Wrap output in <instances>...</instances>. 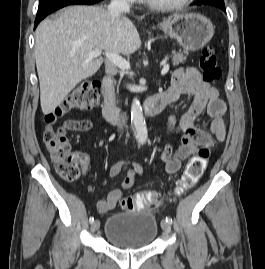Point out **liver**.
<instances>
[{"label":"liver","instance_id":"liver-1","mask_svg":"<svg viewBox=\"0 0 265 269\" xmlns=\"http://www.w3.org/2000/svg\"><path fill=\"white\" fill-rule=\"evenodd\" d=\"M140 46L130 19L111 21L108 11L98 6H70L42 21L35 32L42 112L52 113L77 84L99 70L103 59L90 58V51L130 55Z\"/></svg>","mask_w":265,"mask_h":269}]
</instances>
